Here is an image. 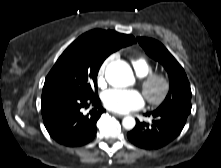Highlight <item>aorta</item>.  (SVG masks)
<instances>
[{
    "label": "aorta",
    "mask_w": 221,
    "mask_h": 168,
    "mask_svg": "<svg viewBox=\"0 0 221 168\" xmlns=\"http://www.w3.org/2000/svg\"><path fill=\"white\" fill-rule=\"evenodd\" d=\"M105 77L108 83L112 86L126 87L133 81V72L127 62L116 60L108 64L105 71ZM135 123V119L131 116H126L122 120V125L127 130L133 129Z\"/></svg>",
    "instance_id": "762f6f07"
}]
</instances>
